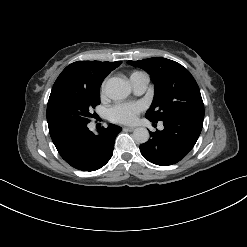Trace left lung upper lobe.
Listing matches in <instances>:
<instances>
[{
	"label": "left lung upper lobe",
	"mask_w": 247,
	"mask_h": 247,
	"mask_svg": "<svg viewBox=\"0 0 247 247\" xmlns=\"http://www.w3.org/2000/svg\"><path fill=\"white\" fill-rule=\"evenodd\" d=\"M147 71L155 85V95L146 117L154 123L173 116L204 119V104L191 73L181 64L162 57L128 61Z\"/></svg>",
	"instance_id": "obj_1"
}]
</instances>
